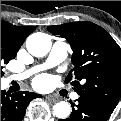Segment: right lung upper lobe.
<instances>
[{
    "mask_svg": "<svg viewBox=\"0 0 121 121\" xmlns=\"http://www.w3.org/2000/svg\"><path fill=\"white\" fill-rule=\"evenodd\" d=\"M35 26H15L6 21H1V34H5L18 44H23L25 38L31 34Z\"/></svg>",
    "mask_w": 121,
    "mask_h": 121,
    "instance_id": "1",
    "label": "right lung upper lobe"
}]
</instances>
